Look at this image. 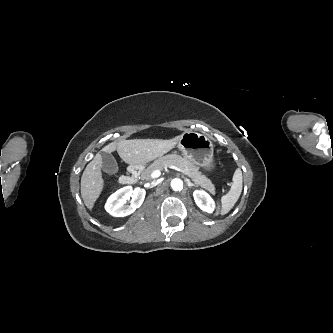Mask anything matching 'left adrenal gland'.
Wrapping results in <instances>:
<instances>
[{
    "mask_svg": "<svg viewBox=\"0 0 333 333\" xmlns=\"http://www.w3.org/2000/svg\"><path fill=\"white\" fill-rule=\"evenodd\" d=\"M187 185L191 188L192 186L196 187L189 179H186Z\"/></svg>",
    "mask_w": 333,
    "mask_h": 333,
    "instance_id": "1",
    "label": "left adrenal gland"
}]
</instances>
